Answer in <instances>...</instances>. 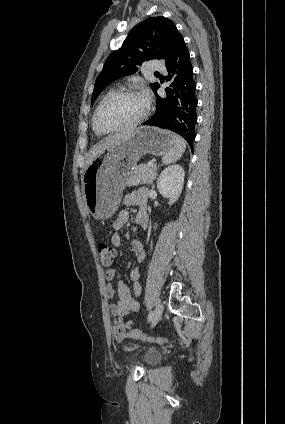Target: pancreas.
<instances>
[{"mask_svg":"<svg viewBox=\"0 0 285 424\" xmlns=\"http://www.w3.org/2000/svg\"><path fill=\"white\" fill-rule=\"evenodd\" d=\"M156 166L153 164H140L134 169L133 175L131 176L128 186H137L141 184H151L156 177Z\"/></svg>","mask_w":285,"mask_h":424,"instance_id":"pancreas-1","label":"pancreas"}]
</instances>
